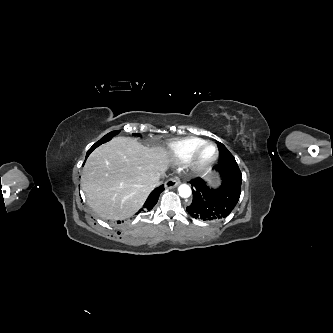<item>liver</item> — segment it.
<instances>
[{
	"label": "liver",
	"mask_w": 333,
	"mask_h": 333,
	"mask_svg": "<svg viewBox=\"0 0 333 333\" xmlns=\"http://www.w3.org/2000/svg\"><path fill=\"white\" fill-rule=\"evenodd\" d=\"M169 163L162 147L147 148L135 139L115 137L90 154L81 186L89 206L102 218L122 220L142 207Z\"/></svg>",
	"instance_id": "6515ba94"
}]
</instances>
